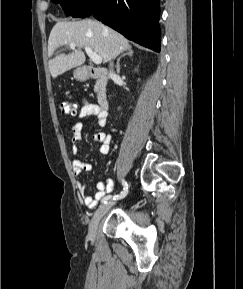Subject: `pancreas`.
<instances>
[{"mask_svg":"<svg viewBox=\"0 0 243 289\" xmlns=\"http://www.w3.org/2000/svg\"><path fill=\"white\" fill-rule=\"evenodd\" d=\"M99 87H100V82L97 81L96 84H95V86H94V92H95V93H98V92H99Z\"/></svg>","mask_w":243,"mask_h":289,"instance_id":"cf45deb5","label":"pancreas"}]
</instances>
